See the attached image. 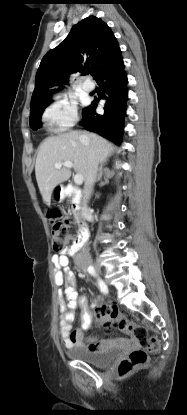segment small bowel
<instances>
[{
  "label": "small bowel",
  "instance_id": "small-bowel-1",
  "mask_svg": "<svg viewBox=\"0 0 187 415\" xmlns=\"http://www.w3.org/2000/svg\"><path fill=\"white\" fill-rule=\"evenodd\" d=\"M72 252L63 251L53 256V263L57 269L55 272V284L64 286V292L58 294L60 317V335L66 347H80L89 351H99L106 349L112 341H97L93 337H86L85 331L92 325V312L87 299L79 295L76 290V280L73 272L68 266L67 254ZM81 309L80 319L81 328L73 330L72 322L75 319V310Z\"/></svg>",
  "mask_w": 187,
  "mask_h": 415
}]
</instances>
